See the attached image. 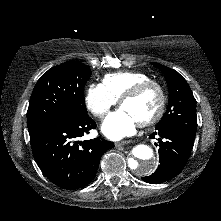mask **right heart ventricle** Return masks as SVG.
Masks as SVG:
<instances>
[{"mask_svg": "<svg viewBox=\"0 0 221 221\" xmlns=\"http://www.w3.org/2000/svg\"><path fill=\"white\" fill-rule=\"evenodd\" d=\"M148 79H150V77L143 72L122 71L105 75L103 78V85L117 100H119L136 84Z\"/></svg>", "mask_w": 221, "mask_h": 221, "instance_id": "e07e8e85", "label": "right heart ventricle"}]
</instances>
